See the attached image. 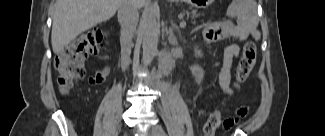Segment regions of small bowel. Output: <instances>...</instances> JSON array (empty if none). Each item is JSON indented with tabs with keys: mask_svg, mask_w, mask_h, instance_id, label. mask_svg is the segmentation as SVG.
<instances>
[{
	"mask_svg": "<svg viewBox=\"0 0 325 136\" xmlns=\"http://www.w3.org/2000/svg\"><path fill=\"white\" fill-rule=\"evenodd\" d=\"M255 26L252 22L245 17H239L237 24H216L206 27L202 32V37L206 42H218L228 38H239L244 40L249 36L254 35ZM240 53V47L232 45L228 47L223 55L222 67L219 74V81L222 89L227 93H232L231 89V66L233 59L238 57ZM111 73V67L105 65L101 70H98L89 77V83L91 85L102 84ZM247 112L246 109H240L238 114L243 116ZM237 121V118L227 119L223 123V129H230Z\"/></svg>",
	"mask_w": 325,
	"mask_h": 136,
	"instance_id": "small-bowel-1",
	"label": "small bowel"
}]
</instances>
